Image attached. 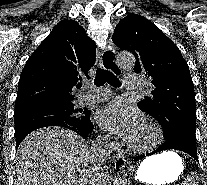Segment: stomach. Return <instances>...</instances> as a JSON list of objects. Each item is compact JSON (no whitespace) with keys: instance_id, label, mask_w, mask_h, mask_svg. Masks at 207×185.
<instances>
[{"instance_id":"1","label":"stomach","mask_w":207,"mask_h":185,"mask_svg":"<svg viewBox=\"0 0 207 185\" xmlns=\"http://www.w3.org/2000/svg\"><path fill=\"white\" fill-rule=\"evenodd\" d=\"M182 171L183 162L178 154L164 152L142 161L135 178L148 185H165L177 180Z\"/></svg>"}]
</instances>
